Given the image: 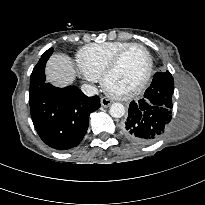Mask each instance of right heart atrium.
Returning <instances> with one entry per match:
<instances>
[{"instance_id": "d8ad5b80", "label": "right heart atrium", "mask_w": 205, "mask_h": 205, "mask_svg": "<svg viewBox=\"0 0 205 205\" xmlns=\"http://www.w3.org/2000/svg\"><path fill=\"white\" fill-rule=\"evenodd\" d=\"M83 74H84V77H85L87 80H89V81H94V80H95L94 78H92V77L86 75L85 73H83Z\"/></svg>"}]
</instances>
